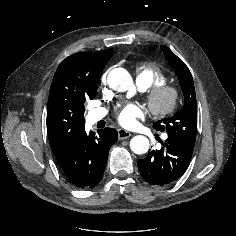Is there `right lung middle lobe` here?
Returning <instances> with one entry per match:
<instances>
[{
    "label": "right lung middle lobe",
    "mask_w": 236,
    "mask_h": 236,
    "mask_svg": "<svg viewBox=\"0 0 236 236\" xmlns=\"http://www.w3.org/2000/svg\"><path fill=\"white\" fill-rule=\"evenodd\" d=\"M109 59H110V57L106 60V63L108 62ZM97 85H98V82L87 88V90H86V98L87 99H93L96 96Z\"/></svg>",
    "instance_id": "obj_1"
}]
</instances>
